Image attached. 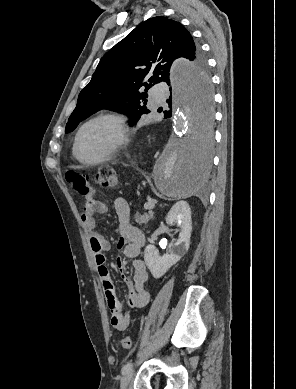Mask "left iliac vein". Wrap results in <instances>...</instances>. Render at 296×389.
I'll list each match as a JSON object with an SVG mask.
<instances>
[{
	"label": "left iliac vein",
	"instance_id": "obj_1",
	"mask_svg": "<svg viewBox=\"0 0 296 389\" xmlns=\"http://www.w3.org/2000/svg\"><path fill=\"white\" fill-rule=\"evenodd\" d=\"M133 376H134V371L132 369H130L128 372H126L124 374V376L122 377L121 379V389H127L130 382L132 381L133 379Z\"/></svg>",
	"mask_w": 296,
	"mask_h": 389
}]
</instances>
